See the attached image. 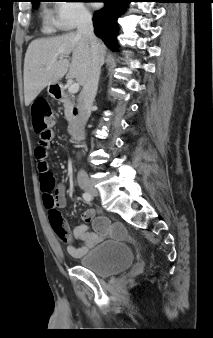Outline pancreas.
Here are the masks:
<instances>
[{"label":"pancreas","instance_id":"cf45deb5","mask_svg":"<svg viewBox=\"0 0 213 338\" xmlns=\"http://www.w3.org/2000/svg\"><path fill=\"white\" fill-rule=\"evenodd\" d=\"M70 96V94H65L62 101L64 103L65 118L69 123L68 130L72 133L75 128L77 117L73 114L74 102L71 100Z\"/></svg>","mask_w":213,"mask_h":338}]
</instances>
